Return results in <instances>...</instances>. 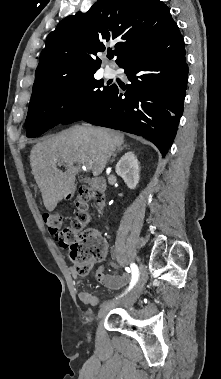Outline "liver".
Returning <instances> with one entry per match:
<instances>
[{"mask_svg": "<svg viewBox=\"0 0 221 379\" xmlns=\"http://www.w3.org/2000/svg\"><path fill=\"white\" fill-rule=\"evenodd\" d=\"M123 142L121 132L76 126L33 146L30 164L45 208L53 211L58 202L73 190L81 164L92 162L93 175H100L108 159ZM57 164H64L66 170H59Z\"/></svg>", "mask_w": 221, "mask_h": 379, "instance_id": "obj_1", "label": "liver"}]
</instances>
